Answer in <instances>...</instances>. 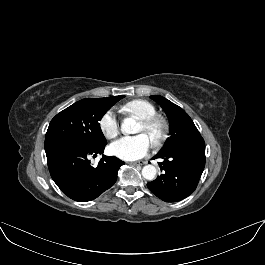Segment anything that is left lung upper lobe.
Masks as SVG:
<instances>
[{
	"label": "left lung upper lobe",
	"mask_w": 265,
	"mask_h": 265,
	"mask_svg": "<svg viewBox=\"0 0 265 265\" xmlns=\"http://www.w3.org/2000/svg\"><path fill=\"white\" fill-rule=\"evenodd\" d=\"M150 97L162 107L170 123V137L159 152H166L177 145L201 137L192 119L181 107L159 95Z\"/></svg>",
	"instance_id": "1"
}]
</instances>
